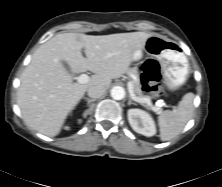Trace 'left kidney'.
Here are the masks:
<instances>
[{"label": "left kidney", "mask_w": 222, "mask_h": 187, "mask_svg": "<svg viewBox=\"0 0 222 187\" xmlns=\"http://www.w3.org/2000/svg\"><path fill=\"white\" fill-rule=\"evenodd\" d=\"M127 115L129 124L135 132L147 137L156 134L154 120L147 112L140 109H129Z\"/></svg>", "instance_id": "left-kidney-1"}]
</instances>
